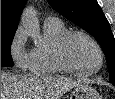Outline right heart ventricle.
<instances>
[{
	"label": "right heart ventricle",
	"mask_w": 115,
	"mask_h": 99,
	"mask_svg": "<svg viewBox=\"0 0 115 99\" xmlns=\"http://www.w3.org/2000/svg\"><path fill=\"white\" fill-rule=\"evenodd\" d=\"M69 29L58 19L44 23V41L35 46L29 55L28 70L34 75H52L66 72L56 59V47Z\"/></svg>",
	"instance_id": "1"
}]
</instances>
